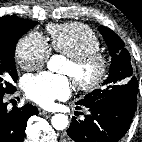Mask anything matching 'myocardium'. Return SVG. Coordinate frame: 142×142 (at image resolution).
I'll return each instance as SVG.
<instances>
[{
	"label": "myocardium",
	"mask_w": 142,
	"mask_h": 142,
	"mask_svg": "<svg viewBox=\"0 0 142 142\" xmlns=\"http://www.w3.org/2000/svg\"><path fill=\"white\" fill-rule=\"evenodd\" d=\"M73 66L72 79L76 87L83 91H91L99 87L106 79L109 71V60L105 53L95 50L81 54L76 57H69ZM91 67L95 68L92 76H86L85 71Z\"/></svg>",
	"instance_id": "1"
}]
</instances>
